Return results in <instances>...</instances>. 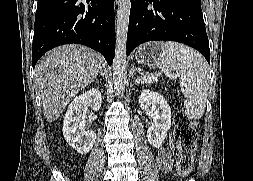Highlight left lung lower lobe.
Wrapping results in <instances>:
<instances>
[{
    "mask_svg": "<svg viewBox=\"0 0 253 181\" xmlns=\"http://www.w3.org/2000/svg\"><path fill=\"white\" fill-rule=\"evenodd\" d=\"M157 40L191 46L210 63L201 0H131L127 56L138 45Z\"/></svg>",
    "mask_w": 253,
    "mask_h": 181,
    "instance_id": "obj_1",
    "label": "left lung lower lobe"
}]
</instances>
